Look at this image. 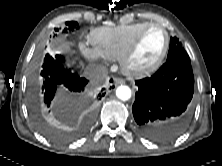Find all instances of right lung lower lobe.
Listing matches in <instances>:
<instances>
[{
	"mask_svg": "<svg viewBox=\"0 0 222 166\" xmlns=\"http://www.w3.org/2000/svg\"><path fill=\"white\" fill-rule=\"evenodd\" d=\"M65 60L63 56L55 57L47 54L41 70L42 83L39 89V105L45 109H53L66 100H72L78 97L88 83L83 77L71 73L70 70L63 66ZM105 90L104 88L102 91ZM105 92L98 94L100 100Z\"/></svg>",
	"mask_w": 222,
	"mask_h": 166,
	"instance_id": "right-lung-lower-lobe-1",
	"label": "right lung lower lobe"
}]
</instances>
